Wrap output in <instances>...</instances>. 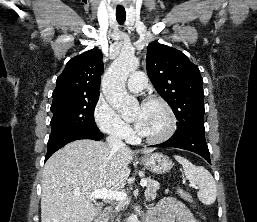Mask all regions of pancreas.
I'll return each instance as SVG.
<instances>
[{
    "instance_id": "cf45deb5",
    "label": "pancreas",
    "mask_w": 257,
    "mask_h": 222,
    "mask_svg": "<svg viewBox=\"0 0 257 222\" xmlns=\"http://www.w3.org/2000/svg\"><path fill=\"white\" fill-rule=\"evenodd\" d=\"M159 186L155 184V181L152 179L148 180V183L146 185V190H145V197L148 201L150 200H154L156 198L157 195V190H158ZM125 206L124 203H119L116 207V211H120L121 209H123Z\"/></svg>"
}]
</instances>
